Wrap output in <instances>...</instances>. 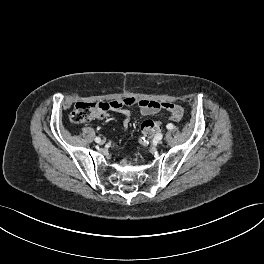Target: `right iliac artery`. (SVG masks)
I'll list each match as a JSON object with an SVG mask.
<instances>
[{
  "instance_id": "obj_1",
  "label": "right iliac artery",
  "mask_w": 264,
  "mask_h": 264,
  "mask_svg": "<svg viewBox=\"0 0 264 264\" xmlns=\"http://www.w3.org/2000/svg\"><path fill=\"white\" fill-rule=\"evenodd\" d=\"M95 141H96L97 143H99V142L101 141L100 137H96V138H95Z\"/></svg>"
}]
</instances>
